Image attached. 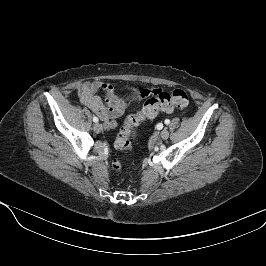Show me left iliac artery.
<instances>
[{
    "instance_id": "obj_1",
    "label": "left iliac artery",
    "mask_w": 266,
    "mask_h": 266,
    "mask_svg": "<svg viewBox=\"0 0 266 266\" xmlns=\"http://www.w3.org/2000/svg\"><path fill=\"white\" fill-rule=\"evenodd\" d=\"M170 123V120L169 119H166L165 120V124L168 125Z\"/></svg>"
}]
</instances>
